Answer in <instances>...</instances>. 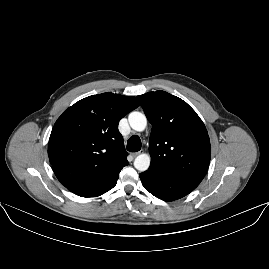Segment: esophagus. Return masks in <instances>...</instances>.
<instances>
[{
	"label": "esophagus",
	"instance_id": "34e87169",
	"mask_svg": "<svg viewBox=\"0 0 269 269\" xmlns=\"http://www.w3.org/2000/svg\"><path fill=\"white\" fill-rule=\"evenodd\" d=\"M140 153H141V152L138 151V152H134V153H132L131 155H132L133 158H135V157L138 156Z\"/></svg>",
	"mask_w": 269,
	"mask_h": 269
}]
</instances>
